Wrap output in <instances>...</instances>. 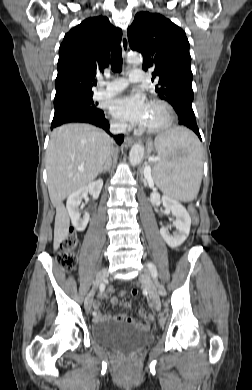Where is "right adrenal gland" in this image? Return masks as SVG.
<instances>
[{
  "label": "right adrenal gland",
  "mask_w": 252,
  "mask_h": 390,
  "mask_svg": "<svg viewBox=\"0 0 252 390\" xmlns=\"http://www.w3.org/2000/svg\"><path fill=\"white\" fill-rule=\"evenodd\" d=\"M111 165H112V160H111V158H109V160L106 162V164L100 170L99 174L110 171Z\"/></svg>",
  "instance_id": "right-adrenal-gland-1"
}]
</instances>
